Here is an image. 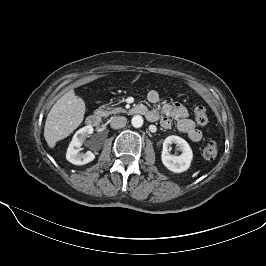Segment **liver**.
<instances>
[{
  "mask_svg": "<svg viewBox=\"0 0 266 266\" xmlns=\"http://www.w3.org/2000/svg\"><path fill=\"white\" fill-rule=\"evenodd\" d=\"M85 110L83 99L76 96L74 90L56 101L44 127V138L50 148H54L57 141L69 136L82 123Z\"/></svg>",
  "mask_w": 266,
  "mask_h": 266,
  "instance_id": "liver-1",
  "label": "liver"
}]
</instances>
